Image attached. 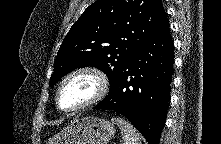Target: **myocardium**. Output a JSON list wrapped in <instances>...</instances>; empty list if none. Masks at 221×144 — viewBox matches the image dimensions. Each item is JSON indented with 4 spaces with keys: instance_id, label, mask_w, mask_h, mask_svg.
<instances>
[{
    "instance_id": "f54148a6",
    "label": "myocardium",
    "mask_w": 221,
    "mask_h": 144,
    "mask_svg": "<svg viewBox=\"0 0 221 144\" xmlns=\"http://www.w3.org/2000/svg\"><path fill=\"white\" fill-rule=\"evenodd\" d=\"M79 75H89V76H92L96 80L97 90L95 94L88 101L81 103L75 107H72V108L61 107L60 94L64 85L70 79ZM109 87H110V82H109L108 76L101 69L94 67V66H84V67L77 68L73 70L72 72H70L68 75H66L60 82L56 91V97H55L56 106L58 107V109H60L63 112H77V111L83 110L85 108H88L100 102L107 95L109 91Z\"/></svg>"
}]
</instances>
